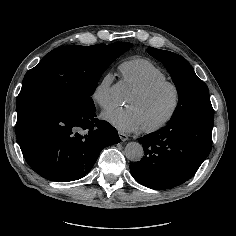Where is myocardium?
Here are the masks:
<instances>
[{"instance_id": "1", "label": "myocardium", "mask_w": 236, "mask_h": 236, "mask_svg": "<svg viewBox=\"0 0 236 236\" xmlns=\"http://www.w3.org/2000/svg\"><path fill=\"white\" fill-rule=\"evenodd\" d=\"M164 87H170L173 90L174 103H173L172 109L170 110L169 114L162 121H160L152 126L143 127V131L146 133L157 132V131L165 128L166 126H168L171 123V121L174 119V117L178 113L180 105H181V99H182L181 90H180L179 86L174 81H171V80L158 81V82H155L145 88L135 90V93L139 97L145 98V97H148V96L156 93L157 91H159L160 89H162Z\"/></svg>"}]
</instances>
